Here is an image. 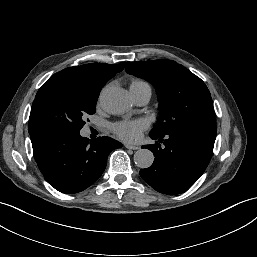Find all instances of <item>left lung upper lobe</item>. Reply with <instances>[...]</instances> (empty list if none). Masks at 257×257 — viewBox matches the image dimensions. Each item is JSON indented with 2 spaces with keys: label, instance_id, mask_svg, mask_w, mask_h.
Instances as JSON below:
<instances>
[{
  "label": "left lung upper lobe",
  "instance_id": "1",
  "mask_svg": "<svg viewBox=\"0 0 257 257\" xmlns=\"http://www.w3.org/2000/svg\"><path fill=\"white\" fill-rule=\"evenodd\" d=\"M125 70L156 88L160 116L150 134L165 135L184 126L215 123L207 86L184 66L172 60H153L127 62Z\"/></svg>",
  "mask_w": 257,
  "mask_h": 257
}]
</instances>
